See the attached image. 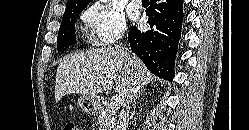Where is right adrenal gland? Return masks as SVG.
<instances>
[{"mask_svg": "<svg viewBox=\"0 0 249 130\" xmlns=\"http://www.w3.org/2000/svg\"><path fill=\"white\" fill-rule=\"evenodd\" d=\"M141 93H142V90L138 92L136 98L134 99V102H133V109H132V112H131V115H132V116L134 115V112H135V109H136V101H137V99L140 97Z\"/></svg>", "mask_w": 249, "mask_h": 130, "instance_id": "obj_1", "label": "right adrenal gland"}]
</instances>
